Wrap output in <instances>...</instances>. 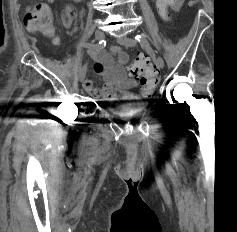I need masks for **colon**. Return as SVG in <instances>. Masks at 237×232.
Returning <instances> with one entry per match:
<instances>
[{
	"label": "colon",
	"mask_w": 237,
	"mask_h": 232,
	"mask_svg": "<svg viewBox=\"0 0 237 232\" xmlns=\"http://www.w3.org/2000/svg\"><path fill=\"white\" fill-rule=\"evenodd\" d=\"M173 0H156V8L160 17L168 21ZM70 14H73L70 12ZM25 24L29 32L52 37L54 33L53 14L45 3H39L28 8L25 14ZM129 72L139 78L144 90L150 91L158 83L156 66L143 54H139L130 64Z\"/></svg>",
	"instance_id": "colon-1"
}]
</instances>
